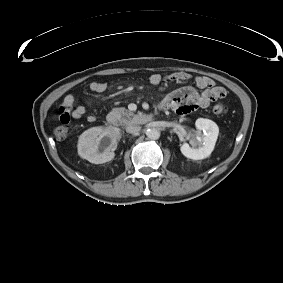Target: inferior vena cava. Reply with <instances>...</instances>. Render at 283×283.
Wrapping results in <instances>:
<instances>
[{
  "instance_id": "1",
  "label": "inferior vena cava",
  "mask_w": 283,
  "mask_h": 283,
  "mask_svg": "<svg viewBox=\"0 0 283 283\" xmlns=\"http://www.w3.org/2000/svg\"><path fill=\"white\" fill-rule=\"evenodd\" d=\"M140 129H141L140 126L130 124V125H128L126 127V132H128V133H136V132L140 131Z\"/></svg>"
}]
</instances>
